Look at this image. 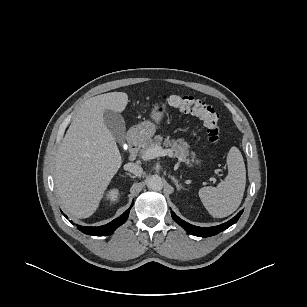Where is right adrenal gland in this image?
<instances>
[{
  "mask_svg": "<svg viewBox=\"0 0 307 307\" xmlns=\"http://www.w3.org/2000/svg\"><path fill=\"white\" fill-rule=\"evenodd\" d=\"M126 175H128L129 177H131V178H135V176H133V175H131L130 173H126Z\"/></svg>",
  "mask_w": 307,
  "mask_h": 307,
  "instance_id": "1",
  "label": "right adrenal gland"
}]
</instances>
